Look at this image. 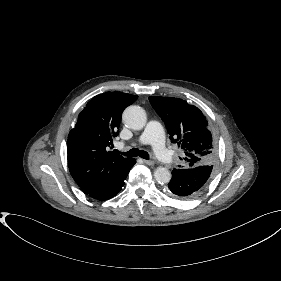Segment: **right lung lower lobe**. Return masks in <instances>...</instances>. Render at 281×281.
Instances as JSON below:
<instances>
[{"label":"right lung lower lobe","mask_w":281,"mask_h":281,"mask_svg":"<svg viewBox=\"0 0 281 281\" xmlns=\"http://www.w3.org/2000/svg\"><path fill=\"white\" fill-rule=\"evenodd\" d=\"M135 163L136 160L132 158L125 172L110 187H108L105 191L101 192L100 194L93 196V198L97 200H107L115 196L122 189L124 185V180L126 179L130 169Z\"/></svg>","instance_id":"obj_1"}]
</instances>
